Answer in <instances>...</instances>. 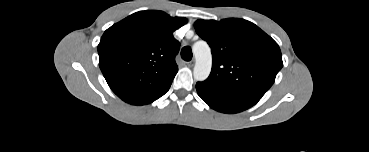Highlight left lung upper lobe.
Instances as JSON below:
<instances>
[{
  "instance_id": "1",
  "label": "left lung upper lobe",
  "mask_w": 369,
  "mask_h": 152,
  "mask_svg": "<svg viewBox=\"0 0 369 152\" xmlns=\"http://www.w3.org/2000/svg\"><path fill=\"white\" fill-rule=\"evenodd\" d=\"M197 34L211 47L207 82L262 97L283 66L278 44L255 24L238 18L197 20Z\"/></svg>"
}]
</instances>
